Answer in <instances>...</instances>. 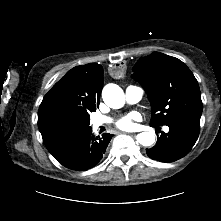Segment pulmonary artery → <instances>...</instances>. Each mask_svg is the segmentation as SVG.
Wrapping results in <instances>:
<instances>
[{"mask_svg":"<svg viewBox=\"0 0 221 221\" xmlns=\"http://www.w3.org/2000/svg\"><path fill=\"white\" fill-rule=\"evenodd\" d=\"M143 93V89L139 86L130 85L125 90V97L129 103H136L142 99ZM102 123V119H95L92 121V126L94 129H97ZM165 130L168 131V128L166 127Z\"/></svg>","mask_w":221,"mask_h":221,"instance_id":"e3ab8cb5","label":"pulmonary artery"}]
</instances>
